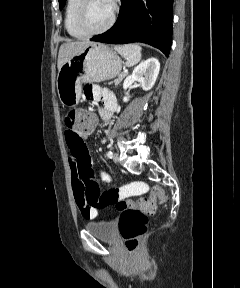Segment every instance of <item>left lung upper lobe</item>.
<instances>
[{"label":"left lung upper lobe","instance_id":"left-lung-upper-lobe-1","mask_svg":"<svg viewBox=\"0 0 240 288\" xmlns=\"http://www.w3.org/2000/svg\"><path fill=\"white\" fill-rule=\"evenodd\" d=\"M66 0H59L60 9L64 6Z\"/></svg>","mask_w":240,"mask_h":288}]
</instances>
